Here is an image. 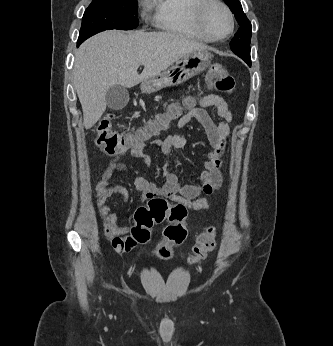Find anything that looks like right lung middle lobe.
Here are the masks:
<instances>
[{"label": "right lung middle lobe", "instance_id": "1", "mask_svg": "<svg viewBox=\"0 0 333 346\" xmlns=\"http://www.w3.org/2000/svg\"><path fill=\"white\" fill-rule=\"evenodd\" d=\"M137 0H93L86 9L77 46L104 30H130L138 26Z\"/></svg>", "mask_w": 333, "mask_h": 346}]
</instances>
